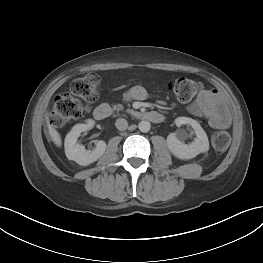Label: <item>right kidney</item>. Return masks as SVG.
I'll list each match as a JSON object with an SVG mask.
<instances>
[{"instance_id":"right-kidney-1","label":"right kidney","mask_w":263,"mask_h":263,"mask_svg":"<svg viewBox=\"0 0 263 263\" xmlns=\"http://www.w3.org/2000/svg\"><path fill=\"white\" fill-rule=\"evenodd\" d=\"M95 122L88 120L86 124H76L66 135L64 147L65 154L69 160H74L79 165L87 166L97 161L106 150V143L102 140L98 141L93 151H86L83 145L77 144V139L81 132L91 129Z\"/></svg>"}]
</instances>
